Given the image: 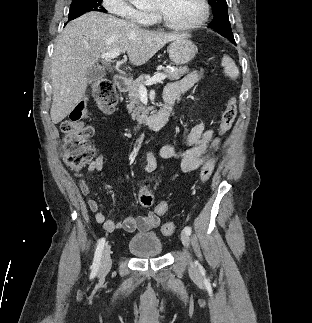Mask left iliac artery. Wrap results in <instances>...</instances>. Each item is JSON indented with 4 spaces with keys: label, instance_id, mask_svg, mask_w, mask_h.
Returning a JSON list of instances; mask_svg holds the SVG:
<instances>
[{
    "label": "left iliac artery",
    "instance_id": "obj_1",
    "mask_svg": "<svg viewBox=\"0 0 312 323\" xmlns=\"http://www.w3.org/2000/svg\"><path fill=\"white\" fill-rule=\"evenodd\" d=\"M184 232H186L188 235H190V234H191V232H192V229H191L189 226H186V227L184 228Z\"/></svg>",
    "mask_w": 312,
    "mask_h": 323
}]
</instances>
